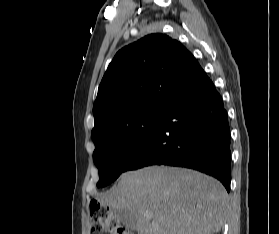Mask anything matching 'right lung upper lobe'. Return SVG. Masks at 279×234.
<instances>
[{
    "instance_id": "right-lung-upper-lobe-1",
    "label": "right lung upper lobe",
    "mask_w": 279,
    "mask_h": 234,
    "mask_svg": "<svg viewBox=\"0 0 279 234\" xmlns=\"http://www.w3.org/2000/svg\"><path fill=\"white\" fill-rule=\"evenodd\" d=\"M177 40L155 33L117 52L93 105L92 139L111 120L147 107H165L202 71Z\"/></svg>"
}]
</instances>
